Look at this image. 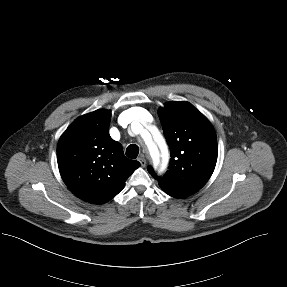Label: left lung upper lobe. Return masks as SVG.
I'll return each mask as SVG.
<instances>
[{"mask_svg":"<svg viewBox=\"0 0 287 287\" xmlns=\"http://www.w3.org/2000/svg\"><path fill=\"white\" fill-rule=\"evenodd\" d=\"M158 115L171 161L163 177L157 176L151 166L148 171L168 195L185 198L202 188L214 171L218 155L216 133L208 119L189 102H168Z\"/></svg>","mask_w":287,"mask_h":287,"instance_id":"obj_1","label":"left lung upper lobe"}]
</instances>
